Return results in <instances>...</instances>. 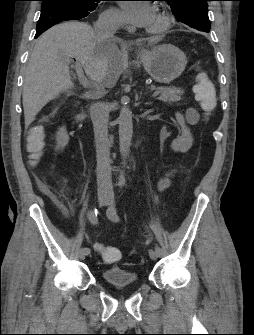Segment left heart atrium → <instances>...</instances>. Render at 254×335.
Returning a JSON list of instances; mask_svg holds the SVG:
<instances>
[{
    "label": "left heart atrium",
    "mask_w": 254,
    "mask_h": 335,
    "mask_svg": "<svg viewBox=\"0 0 254 335\" xmlns=\"http://www.w3.org/2000/svg\"><path fill=\"white\" fill-rule=\"evenodd\" d=\"M125 20L138 29L152 30L156 10L146 1H125L121 4Z\"/></svg>",
    "instance_id": "obj_1"
}]
</instances>
